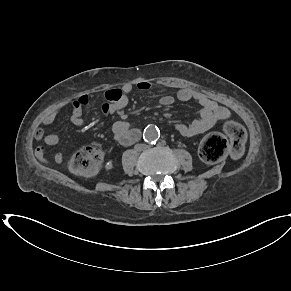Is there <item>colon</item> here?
Here are the masks:
<instances>
[{"label": "colon", "instance_id": "5ec220e1", "mask_svg": "<svg viewBox=\"0 0 291 291\" xmlns=\"http://www.w3.org/2000/svg\"><path fill=\"white\" fill-rule=\"evenodd\" d=\"M224 131L230 138L231 144L239 148L245 140L243 126L235 120L224 123ZM229 148L228 139L220 133L207 135L200 145V156L208 163L221 161ZM102 161V152L96 146H86L75 152L67 161L68 170L76 175L89 176L97 171Z\"/></svg>", "mask_w": 291, "mask_h": 291}]
</instances>
